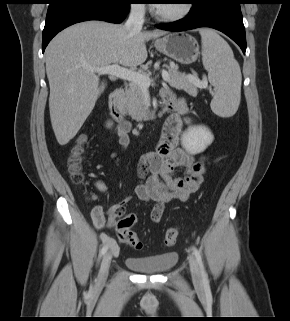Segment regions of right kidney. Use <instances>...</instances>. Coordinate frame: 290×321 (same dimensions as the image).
Here are the masks:
<instances>
[{"label":"right kidney","mask_w":290,"mask_h":321,"mask_svg":"<svg viewBox=\"0 0 290 321\" xmlns=\"http://www.w3.org/2000/svg\"><path fill=\"white\" fill-rule=\"evenodd\" d=\"M112 125V123H108V127H110Z\"/></svg>","instance_id":"1"}]
</instances>
